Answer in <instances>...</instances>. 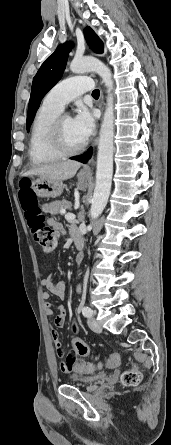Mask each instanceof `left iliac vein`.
Masks as SVG:
<instances>
[{
    "label": "left iliac vein",
    "instance_id": "1",
    "mask_svg": "<svg viewBox=\"0 0 171 445\" xmlns=\"http://www.w3.org/2000/svg\"><path fill=\"white\" fill-rule=\"evenodd\" d=\"M89 328L95 332L100 333L102 331V327L99 322H97L92 316L88 318L87 320Z\"/></svg>",
    "mask_w": 171,
    "mask_h": 445
}]
</instances>
